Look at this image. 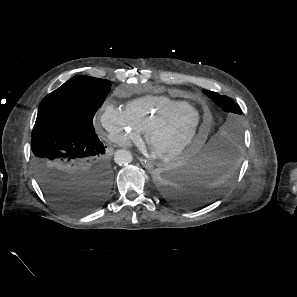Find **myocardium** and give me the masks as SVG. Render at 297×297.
I'll use <instances>...</instances> for the list:
<instances>
[{"label": "myocardium", "mask_w": 297, "mask_h": 297, "mask_svg": "<svg viewBox=\"0 0 297 297\" xmlns=\"http://www.w3.org/2000/svg\"><path fill=\"white\" fill-rule=\"evenodd\" d=\"M187 110L194 111L198 115V121H197L196 127L194 128L191 135L183 143H181L179 146L173 149H170L167 151L155 150L152 147V135L158 130H160L168 121L180 116L182 113H184ZM202 122H203V117L200 111L194 106L187 104L181 108L166 111L161 115H159L145 130V141L149 149L151 150L152 154L156 158L165 162L170 161L176 158L177 156L181 155L182 153H184L196 141L201 129Z\"/></svg>", "instance_id": "1"}]
</instances>
